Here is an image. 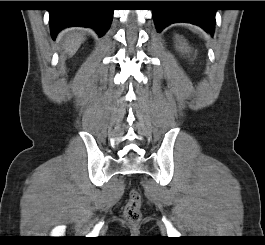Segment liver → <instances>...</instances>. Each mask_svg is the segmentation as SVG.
Listing matches in <instances>:
<instances>
[{
	"mask_svg": "<svg viewBox=\"0 0 265 245\" xmlns=\"http://www.w3.org/2000/svg\"><path fill=\"white\" fill-rule=\"evenodd\" d=\"M60 42L64 53L69 57L73 56L85 41L84 32L80 30H70L59 35Z\"/></svg>",
	"mask_w": 265,
	"mask_h": 245,
	"instance_id": "1",
	"label": "liver"
}]
</instances>
